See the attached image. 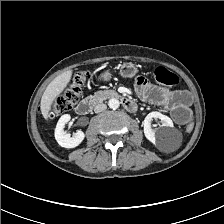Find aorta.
Returning a JSON list of instances; mask_svg holds the SVG:
<instances>
[{
    "label": "aorta",
    "mask_w": 224,
    "mask_h": 224,
    "mask_svg": "<svg viewBox=\"0 0 224 224\" xmlns=\"http://www.w3.org/2000/svg\"><path fill=\"white\" fill-rule=\"evenodd\" d=\"M120 103H119V100L116 99V98H111L109 101H108V106L115 110L119 107Z\"/></svg>",
    "instance_id": "aorta-1"
}]
</instances>
